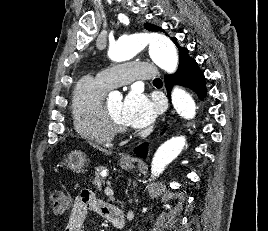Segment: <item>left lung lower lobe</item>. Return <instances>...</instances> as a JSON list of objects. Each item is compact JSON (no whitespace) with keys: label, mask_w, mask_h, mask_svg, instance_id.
<instances>
[{"label":"left lung lower lobe","mask_w":268,"mask_h":231,"mask_svg":"<svg viewBox=\"0 0 268 231\" xmlns=\"http://www.w3.org/2000/svg\"><path fill=\"white\" fill-rule=\"evenodd\" d=\"M165 83L169 97L174 84L191 88L201 99L206 93L204 74L200 71L197 62L191 57L185 60L174 75L165 76ZM135 152L139 157L145 158L148 152L147 144H142L135 149Z\"/></svg>","instance_id":"obj_1"}]
</instances>
